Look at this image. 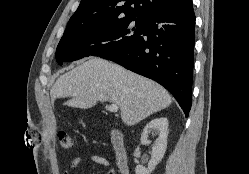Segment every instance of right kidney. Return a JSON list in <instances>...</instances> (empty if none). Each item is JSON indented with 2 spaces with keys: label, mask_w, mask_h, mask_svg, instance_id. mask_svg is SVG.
<instances>
[{
  "label": "right kidney",
  "mask_w": 249,
  "mask_h": 174,
  "mask_svg": "<svg viewBox=\"0 0 249 174\" xmlns=\"http://www.w3.org/2000/svg\"><path fill=\"white\" fill-rule=\"evenodd\" d=\"M150 132L158 134V138L156 139L152 147L151 160L149 161L147 168L141 165L136 166L135 168L136 174H151V172L162 160L167 147V137H168L167 118L160 117L153 119L145 126L140 139L142 145L149 144L148 134Z\"/></svg>",
  "instance_id": "obj_1"
}]
</instances>
